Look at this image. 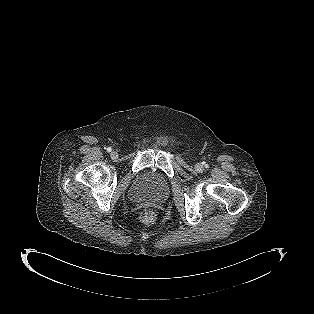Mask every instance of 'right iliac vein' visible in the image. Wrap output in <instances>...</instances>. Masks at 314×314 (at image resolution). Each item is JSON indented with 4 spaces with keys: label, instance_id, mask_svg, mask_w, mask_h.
<instances>
[{
    "label": "right iliac vein",
    "instance_id": "63e3f726",
    "mask_svg": "<svg viewBox=\"0 0 314 314\" xmlns=\"http://www.w3.org/2000/svg\"><path fill=\"white\" fill-rule=\"evenodd\" d=\"M110 157H111L112 159H116V158L118 157V153H117L116 151H112V152L110 153Z\"/></svg>",
    "mask_w": 314,
    "mask_h": 314
}]
</instances>
